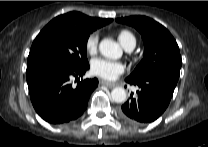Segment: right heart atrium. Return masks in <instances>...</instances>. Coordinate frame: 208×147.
Here are the masks:
<instances>
[{
  "instance_id": "d8ad5b80",
  "label": "right heart atrium",
  "mask_w": 208,
  "mask_h": 147,
  "mask_svg": "<svg viewBox=\"0 0 208 147\" xmlns=\"http://www.w3.org/2000/svg\"><path fill=\"white\" fill-rule=\"evenodd\" d=\"M98 43H99L98 34L97 33L90 34L86 40V43H85L86 51L89 54H95L98 49Z\"/></svg>"
}]
</instances>
